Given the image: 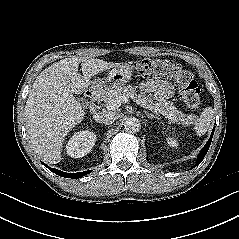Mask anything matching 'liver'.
Segmentation results:
<instances>
[{"label":"liver","mask_w":239,"mask_h":239,"mask_svg":"<svg viewBox=\"0 0 239 239\" xmlns=\"http://www.w3.org/2000/svg\"><path fill=\"white\" fill-rule=\"evenodd\" d=\"M81 62L83 76L78 73ZM112 63L88 57L62 59L43 70L29 92L24 115L30 144L45 162L61 161L66 135L84 119L85 112L73 94L84 92L91 77L117 67Z\"/></svg>","instance_id":"liver-1"}]
</instances>
